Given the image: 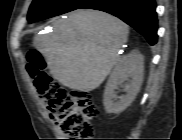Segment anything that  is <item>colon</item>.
Here are the masks:
<instances>
[{
  "label": "colon",
  "instance_id": "obj_1",
  "mask_svg": "<svg viewBox=\"0 0 182 140\" xmlns=\"http://www.w3.org/2000/svg\"><path fill=\"white\" fill-rule=\"evenodd\" d=\"M26 70L40 98L56 113L63 133L89 140L93 129L91 122L99 110L90 94L81 91L68 92L45 71L44 62L38 52L28 54Z\"/></svg>",
  "mask_w": 182,
  "mask_h": 140
}]
</instances>
